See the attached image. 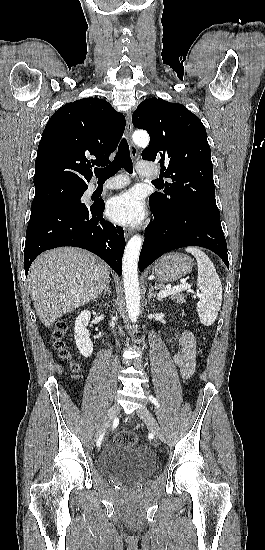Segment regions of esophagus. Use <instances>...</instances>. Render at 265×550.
<instances>
[{"mask_svg":"<svg viewBox=\"0 0 265 550\" xmlns=\"http://www.w3.org/2000/svg\"><path fill=\"white\" fill-rule=\"evenodd\" d=\"M132 132H133L132 115H131V112L129 111L127 112V116H126V137L130 145L131 156L135 158L137 156V148L135 147L131 139ZM131 234H132V230L126 229L125 237L128 238L131 236Z\"/></svg>","mask_w":265,"mask_h":550,"instance_id":"esophagus-1","label":"esophagus"}]
</instances>
